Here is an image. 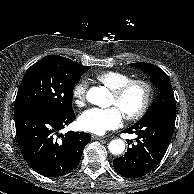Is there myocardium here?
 Masks as SVG:
<instances>
[{"mask_svg":"<svg viewBox=\"0 0 194 194\" xmlns=\"http://www.w3.org/2000/svg\"><path fill=\"white\" fill-rule=\"evenodd\" d=\"M135 85H140L141 87H143L144 92H145V96H144V100H143L141 106L135 112L123 115L124 118L128 121H134V120L140 119L141 117H143L145 115V113L149 109V106L151 104L152 97H153L152 84L146 79L137 78V79H131V80L123 83L119 87L111 90V94L115 98L120 99L127 93V91L131 87H133Z\"/></svg>","mask_w":194,"mask_h":194,"instance_id":"myocardium-1","label":"myocardium"}]
</instances>
